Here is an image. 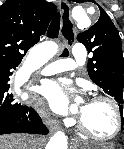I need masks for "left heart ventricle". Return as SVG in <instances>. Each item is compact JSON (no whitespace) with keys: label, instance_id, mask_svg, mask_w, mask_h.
<instances>
[{"label":"left heart ventricle","instance_id":"obj_1","mask_svg":"<svg viewBox=\"0 0 124 149\" xmlns=\"http://www.w3.org/2000/svg\"><path fill=\"white\" fill-rule=\"evenodd\" d=\"M79 117L94 134L108 136L116 127L112 106L105 101L89 102L79 106Z\"/></svg>","mask_w":124,"mask_h":149}]
</instances>
